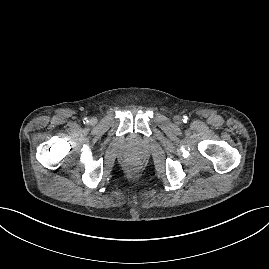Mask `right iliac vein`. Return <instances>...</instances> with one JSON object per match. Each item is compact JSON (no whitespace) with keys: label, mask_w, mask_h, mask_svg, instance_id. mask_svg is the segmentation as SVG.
Returning a JSON list of instances; mask_svg holds the SVG:
<instances>
[{"label":"right iliac vein","mask_w":269,"mask_h":269,"mask_svg":"<svg viewBox=\"0 0 269 269\" xmlns=\"http://www.w3.org/2000/svg\"><path fill=\"white\" fill-rule=\"evenodd\" d=\"M96 122H97V119H96V118H92V119L90 120V123H91L92 125L96 124Z\"/></svg>","instance_id":"1"}]
</instances>
